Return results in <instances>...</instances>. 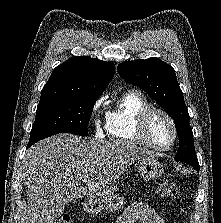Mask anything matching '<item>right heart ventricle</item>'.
I'll return each mask as SVG.
<instances>
[{
	"mask_svg": "<svg viewBox=\"0 0 221 223\" xmlns=\"http://www.w3.org/2000/svg\"><path fill=\"white\" fill-rule=\"evenodd\" d=\"M151 107L149 100L139 91L124 93L107 113L106 136L122 143H142L135 128L142 111Z\"/></svg>",
	"mask_w": 221,
	"mask_h": 223,
	"instance_id": "obj_1",
	"label": "right heart ventricle"
}]
</instances>
